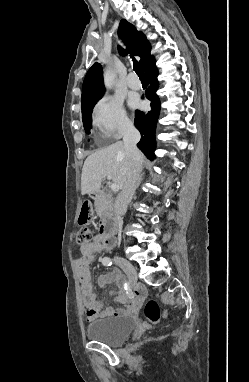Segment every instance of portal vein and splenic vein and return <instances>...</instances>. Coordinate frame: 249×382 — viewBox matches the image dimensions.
Instances as JSON below:
<instances>
[{
  "label": "portal vein and splenic vein",
  "mask_w": 249,
  "mask_h": 382,
  "mask_svg": "<svg viewBox=\"0 0 249 382\" xmlns=\"http://www.w3.org/2000/svg\"><path fill=\"white\" fill-rule=\"evenodd\" d=\"M110 187H111V190L115 192L120 189L117 183H112Z\"/></svg>",
  "instance_id": "portal-vein-and-splenic-vein-1"
}]
</instances>
